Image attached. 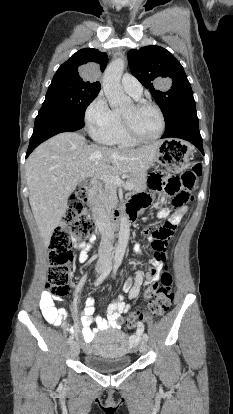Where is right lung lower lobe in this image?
I'll return each instance as SVG.
<instances>
[{
	"label": "right lung lower lobe",
	"mask_w": 233,
	"mask_h": 414,
	"mask_svg": "<svg viewBox=\"0 0 233 414\" xmlns=\"http://www.w3.org/2000/svg\"><path fill=\"white\" fill-rule=\"evenodd\" d=\"M84 127V118L74 116L54 107L42 106L36 119L26 157L43 141L61 133L73 132Z\"/></svg>",
	"instance_id": "98d812e1"
}]
</instances>
